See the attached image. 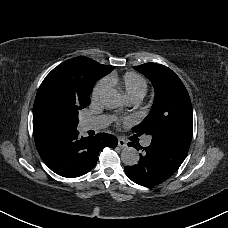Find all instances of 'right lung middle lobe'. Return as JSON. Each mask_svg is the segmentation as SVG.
Returning a JSON list of instances; mask_svg holds the SVG:
<instances>
[{
  "label": "right lung middle lobe",
  "mask_w": 228,
  "mask_h": 228,
  "mask_svg": "<svg viewBox=\"0 0 228 228\" xmlns=\"http://www.w3.org/2000/svg\"><path fill=\"white\" fill-rule=\"evenodd\" d=\"M90 104L89 95H77L61 82L45 78L33 107V115L51 132L76 129L78 111Z\"/></svg>",
  "instance_id": "right-lung-middle-lobe-1"
}]
</instances>
